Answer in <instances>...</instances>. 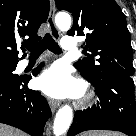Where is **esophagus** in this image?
<instances>
[{
    "mask_svg": "<svg viewBox=\"0 0 136 136\" xmlns=\"http://www.w3.org/2000/svg\"><path fill=\"white\" fill-rule=\"evenodd\" d=\"M55 10H56L55 9V2H54V0H50V10H49V15H48V19H47V25H48L49 32H50L51 36L55 40H58L60 38V33L54 23ZM48 103H49V106H50L52 112H55V110L59 107V102L54 99H49Z\"/></svg>",
    "mask_w": 136,
    "mask_h": 136,
    "instance_id": "34e87169",
    "label": "esophagus"
}]
</instances>
